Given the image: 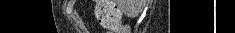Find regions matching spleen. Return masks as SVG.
<instances>
[{
  "instance_id": "obj_1",
  "label": "spleen",
  "mask_w": 235,
  "mask_h": 33,
  "mask_svg": "<svg viewBox=\"0 0 235 33\" xmlns=\"http://www.w3.org/2000/svg\"><path fill=\"white\" fill-rule=\"evenodd\" d=\"M139 12V10H137V12L136 13H138ZM128 13H131V11H129Z\"/></svg>"
}]
</instances>
